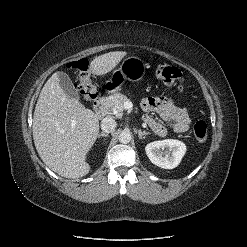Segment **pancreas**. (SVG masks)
Returning <instances> with one entry per match:
<instances>
[{"label": "pancreas", "instance_id": "pancreas-1", "mask_svg": "<svg viewBox=\"0 0 247 247\" xmlns=\"http://www.w3.org/2000/svg\"><path fill=\"white\" fill-rule=\"evenodd\" d=\"M127 101L129 99L125 95L116 93L104 99V106L117 117H121L124 111V103Z\"/></svg>", "mask_w": 247, "mask_h": 247}]
</instances>
